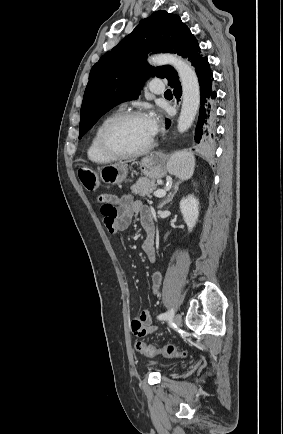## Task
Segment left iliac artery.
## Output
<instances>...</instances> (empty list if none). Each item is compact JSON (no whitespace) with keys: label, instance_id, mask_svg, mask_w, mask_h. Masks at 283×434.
Instances as JSON below:
<instances>
[{"label":"left iliac artery","instance_id":"left-iliac-artery-1","mask_svg":"<svg viewBox=\"0 0 283 434\" xmlns=\"http://www.w3.org/2000/svg\"><path fill=\"white\" fill-rule=\"evenodd\" d=\"M173 315H174V309L171 308V309L168 310L167 312L158 315L157 318H158L159 320H168V319H170L171 317H173Z\"/></svg>","mask_w":283,"mask_h":434}]
</instances>
